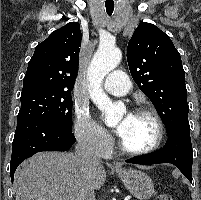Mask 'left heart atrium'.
<instances>
[{
	"mask_svg": "<svg viewBox=\"0 0 201 200\" xmlns=\"http://www.w3.org/2000/svg\"><path fill=\"white\" fill-rule=\"evenodd\" d=\"M117 133L120 135L121 134V128H117Z\"/></svg>",
	"mask_w": 201,
	"mask_h": 200,
	"instance_id": "1",
	"label": "left heart atrium"
}]
</instances>
